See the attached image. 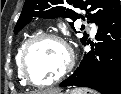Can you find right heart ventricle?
<instances>
[{
    "mask_svg": "<svg viewBox=\"0 0 121 94\" xmlns=\"http://www.w3.org/2000/svg\"><path fill=\"white\" fill-rule=\"evenodd\" d=\"M35 35L34 34H31L27 37H25L19 44L18 48H17V52H16V56H15V62H16V68H17V73H18V76H19V79L21 81L22 84H25V81H24V78L21 74V71H20V57H21V54H22V51L25 47V45L27 44V42L32 39Z\"/></svg>",
    "mask_w": 121,
    "mask_h": 94,
    "instance_id": "obj_1",
    "label": "right heart ventricle"
}]
</instances>
